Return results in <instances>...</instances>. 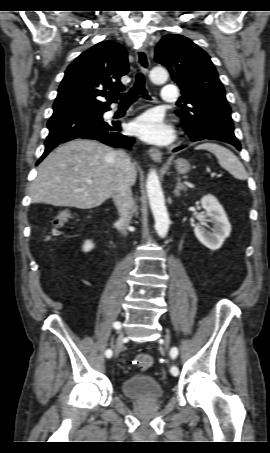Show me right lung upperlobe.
Returning a JSON list of instances; mask_svg holds the SVG:
<instances>
[{
  "label": "right lung upper lobe",
  "instance_id": "cb5924a9",
  "mask_svg": "<svg viewBox=\"0 0 270 453\" xmlns=\"http://www.w3.org/2000/svg\"><path fill=\"white\" fill-rule=\"evenodd\" d=\"M128 71L127 51L122 45L113 41L96 44L68 66L53 115L109 107L124 89L120 78Z\"/></svg>",
  "mask_w": 270,
  "mask_h": 453
}]
</instances>
